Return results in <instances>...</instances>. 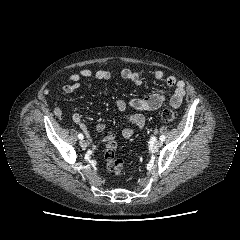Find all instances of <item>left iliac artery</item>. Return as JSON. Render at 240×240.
<instances>
[{
	"mask_svg": "<svg viewBox=\"0 0 240 240\" xmlns=\"http://www.w3.org/2000/svg\"><path fill=\"white\" fill-rule=\"evenodd\" d=\"M160 140H161V141H164V140H165V136H164V135H161V136H160Z\"/></svg>",
	"mask_w": 240,
	"mask_h": 240,
	"instance_id": "44dca946",
	"label": "left iliac artery"
}]
</instances>
